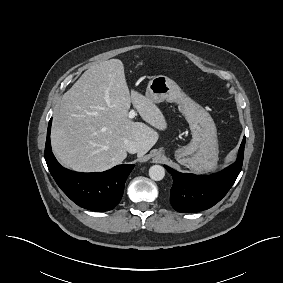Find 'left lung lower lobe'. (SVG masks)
I'll list each match as a JSON object with an SVG mask.
<instances>
[{"instance_id": "0a47b994", "label": "left lung lower lobe", "mask_w": 283, "mask_h": 283, "mask_svg": "<svg viewBox=\"0 0 283 283\" xmlns=\"http://www.w3.org/2000/svg\"><path fill=\"white\" fill-rule=\"evenodd\" d=\"M245 137L241 143L237 160L220 173L197 176L180 173L168 166L165 168L173 177L170 202L175 210L193 213L211 208L229 191L238 177L243 163Z\"/></svg>"}]
</instances>
